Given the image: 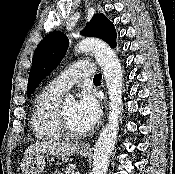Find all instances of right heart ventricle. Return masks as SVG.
Segmentation results:
<instances>
[{"label":"right heart ventricle","instance_id":"right-heart-ventricle-1","mask_svg":"<svg viewBox=\"0 0 175 174\" xmlns=\"http://www.w3.org/2000/svg\"><path fill=\"white\" fill-rule=\"evenodd\" d=\"M60 97V93L46 88L35 98L31 115V128L38 140L52 142L63 139L64 136L57 122Z\"/></svg>","mask_w":175,"mask_h":174}]
</instances>
